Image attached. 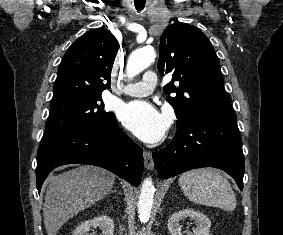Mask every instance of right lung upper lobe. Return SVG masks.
Listing matches in <instances>:
<instances>
[{
	"label": "right lung upper lobe",
	"mask_w": 283,
	"mask_h": 235,
	"mask_svg": "<svg viewBox=\"0 0 283 235\" xmlns=\"http://www.w3.org/2000/svg\"><path fill=\"white\" fill-rule=\"evenodd\" d=\"M118 48L114 35L104 28L92 29L77 39L60 63L52 103L71 97L101 96L110 86Z\"/></svg>",
	"instance_id": "1"
}]
</instances>
